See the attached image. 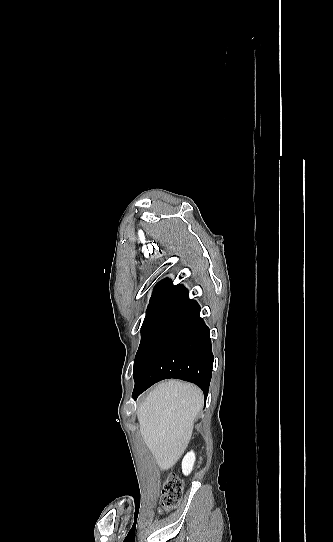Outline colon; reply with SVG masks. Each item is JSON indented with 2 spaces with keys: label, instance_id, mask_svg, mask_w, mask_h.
<instances>
[{
  "label": "colon",
  "instance_id": "obj_1",
  "mask_svg": "<svg viewBox=\"0 0 333 542\" xmlns=\"http://www.w3.org/2000/svg\"><path fill=\"white\" fill-rule=\"evenodd\" d=\"M182 500V483L175 475L167 476L162 491L161 508L168 511L176 508Z\"/></svg>",
  "mask_w": 333,
  "mask_h": 542
}]
</instances>
